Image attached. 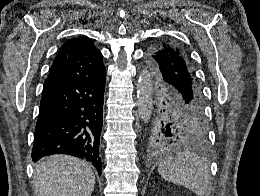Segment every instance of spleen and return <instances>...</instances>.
<instances>
[{
	"mask_svg": "<svg viewBox=\"0 0 260 196\" xmlns=\"http://www.w3.org/2000/svg\"><path fill=\"white\" fill-rule=\"evenodd\" d=\"M158 172L164 180L184 186L196 196H205L210 184V172L206 160L189 150L176 156H165L158 164Z\"/></svg>",
	"mask_w": 260,
	"mask_h": 196,
	"instance_id": "3e777b00",
	"label": "spleen"
}]
</instances>
